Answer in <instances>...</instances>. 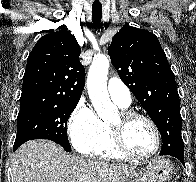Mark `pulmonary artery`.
<instances>
[{"label":"pulmonary artery","mask_w":196,"mask_h":182,"mask_svg":"<svg viewBox=\"0 0 196 182\" xmlns=\"http://www.w3.org/2000/svg\"><path fill=\"white\" fill-rule=\"evenodd\" d=\"M110 98L120 106L127 107L131 104V93L128 87L118 78H112L107 84Z\"/></svg>","instance_id":"obj_1"}]
</instances>
